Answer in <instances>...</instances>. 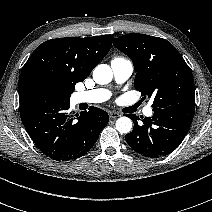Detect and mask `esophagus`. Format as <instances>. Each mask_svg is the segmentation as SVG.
Returning <instances> with one entry per match:
<instances>
[{
	"instance_id": "esophagus-1",
	"label": "esophagus",
	"mask_w": 212,
	"mask_h": 212,
	"mask_svg": "<svg viewBox=\"0 0 212 212\" xmlns=\"http://www.w3.org/2000/svg\"><path fill=\"white\" fill-rule=\"evenodd\" d=\"M109 117L111 119H116V118L120 117V114L117 112H109Z\"/></svg>"
}]
</instances>
